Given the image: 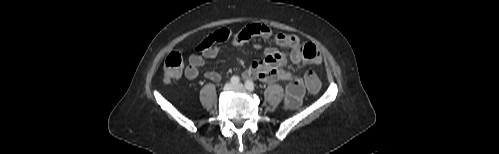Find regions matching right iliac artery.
Masks as SVG:
<instances>
[{
    "label": "right iliac artery",
    "instance_id": "1",
    "mask_svg": "<svg viewBox=\"0 0 499 154\" xmlns=\"http://www.w3.org/2000/svg\"><path fill=\"white\" fill-rule=\"evenodd\" d=\"M239 81H240V79H239V77H238V76H233V77L231 78V83H233V84H238V83H239Z\"/></svg>",
    "mask_w": 499,
    "mask_h": 154
}]
</instances>
